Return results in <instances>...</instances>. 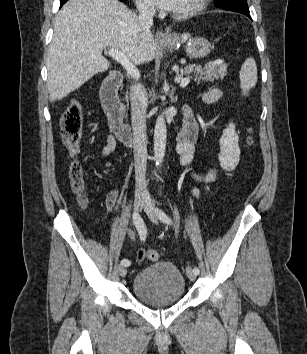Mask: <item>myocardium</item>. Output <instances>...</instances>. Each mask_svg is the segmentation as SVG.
Wrapping results in <instances>:
<instances>
[{"label":"myocardium","instance_id":"obj_1","mask_svg":"<svg viewBox=\"0 0 307 354\" xmlns=\"http://www.w3.org/2000/svg\"><path fill=\"white\" fill-rule=\"evenodd\" d=\"M208 0H195L194 3L182 12H173V17L177 19H186L201 12L207 5Z\"/></svg>","mask_w":307,"mask_h":354}]
</instances>
